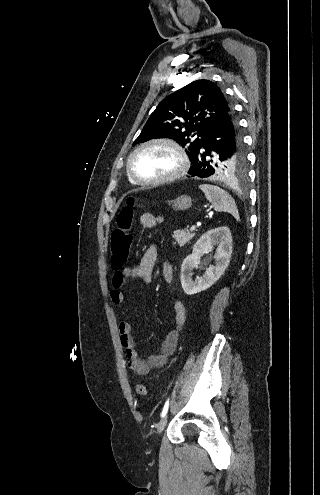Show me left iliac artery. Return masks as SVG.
Listing matches in <instances>:
<instances>
[{"mask_svg": "<svg viewBox=\"0 0 320 495\" xmlns=\"http://www.w3.org/2000/svg\"><path fill=\"white\" fill-rule=\"evenodd\" d=\"M168 407H169V399L166 401L164 407H163V410H162V413H161V416L164 417L168 411Z\"/></svg>", "mask_w": 320, "mask_h": 495, "instance_id": "left-iliac-artery-1", "label": "left iliac artery"}]
</instances>
